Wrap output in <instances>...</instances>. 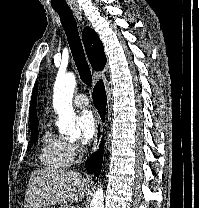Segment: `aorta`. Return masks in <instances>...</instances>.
Instances as JSON below:
<instances>
[{"mask_svg": "<svg viewBox=\"0 0 199 208\" xmlns=\"http://www.w3.org/2000/svg\"><path fill=\"white\" fill-rule=\"evenodd\" d=\"M76 78L73 73L58 76L54 84L53 107L58 114L57 126L61 134L76 136L79 130L75 127V113L72 107ZM90 208H104V191L98 186Z\"/></svg>", "mask_w": 199, "mask_h": 208, "instance_id": "762f6f07", "label": "aorta"}]
</instances>
